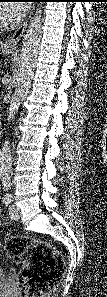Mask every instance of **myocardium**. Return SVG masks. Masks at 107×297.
<instances>
[{
  "label": "myocardium",
  "mask_w": 107,
  "mask_h": 297,
  "mask_svg": "<svg viewBox=\"0 0 107 297\" xmlns=\"http://www.w3.org/2000/svg\"><path fill=\"white\" fill-rule=\"evenodd\" d=\"M9 25L5 22H1L0 23V28L3 29V28H7Z\"/></svg>",
  "instance_id": "obj_1"
}]
</instances>
